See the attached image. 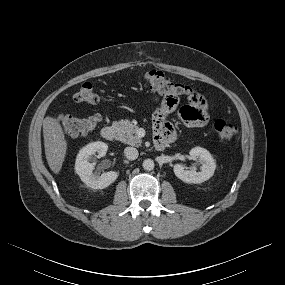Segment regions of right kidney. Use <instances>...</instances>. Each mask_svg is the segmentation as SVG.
Listing matches in <instances>:
<instances>
[{
    "label": "right kidney",
    "instance_id": "ca27d5eb",
    "mask_svg": "<svg viewBox=\"0 0 285 285\" xmlns=\"http://www.w3.org/2000/svg\"><path fill=\"white\" fill-rule=\"evenodd\" d=\"M107 149L106 143L97 141L89 143L79 151L75 162V172L88 187L104 189L117 179L118 172L116 171L105 172L101 176L93 173L94 166L89 162L93 154L98 153L99 157H103Z\"/></svg>",
    "mask_w": 285,
    "mask_h": 285
}]
</instances>
